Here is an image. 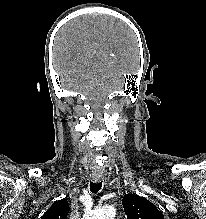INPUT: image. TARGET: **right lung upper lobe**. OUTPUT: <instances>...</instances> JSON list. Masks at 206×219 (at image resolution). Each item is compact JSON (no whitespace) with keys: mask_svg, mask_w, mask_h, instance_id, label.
I'll return each instance as SVG.
<instances>
[{"mask_svg":"<svg viewBox=\"0 0 206 219\" xmlns=\"http://www.w3.org/2000/svg\"><path fill=\"white\" fill-rule=\"evenodd\" d=\"M69 204L66 199L58 200L44 213L41 219H67Z\"/></svg>","mask_w":206,"mask_h":219,"instance_id":"right-lung-upper-lobe-1","label":"right lung upper lobe"}]
</instances>
